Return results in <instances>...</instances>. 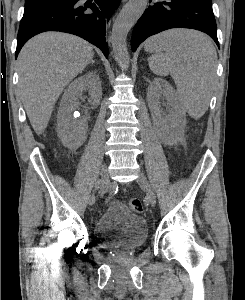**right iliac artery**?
Masks as SVG:
<instances>
[{
	"label": "right iliac artery",
	"mask_w": 245,
	"mask_h": 300,
	"mask_svg": "<svg viewBox=\"0 0 245 300\" xmlns=\"http://www.w3.org/2000/svg\"><path fill=\"white\" fill-rule=\"evenodd\" d=\"M106 180V179H105ZM108 191V182H103V185L99 188V196L103 197Z\"/></svg>",
	"instance_id": "1"
}]
</instances>
